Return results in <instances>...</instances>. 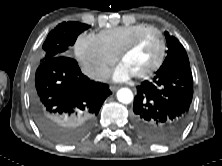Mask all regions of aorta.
<instances>
[{
    "label": "aorta",
    "mask_w": 222,
    "mask_h": 166,
    "mask_svg": "<svg viewBox=\"0 0 222 166\" xmlns=\"http://www.w3.org/2000/svg\"><path fill=\"white\" fill-rule=\"evenodd\" d=\"M117 99L124 104H129L133 100V93L128 88H121L117 92Z\"/></svg>",
    "instance_id": "762f6f07"
}]
</instances>
